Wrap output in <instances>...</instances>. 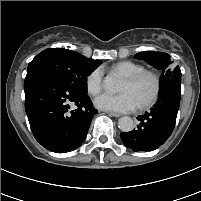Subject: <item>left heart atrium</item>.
Segmentation results:
<instances>
[{
  "mask_svg": "<svg viewBox=\"0 0 201 201\" xmlns=\"http://www.w3.org/2000/svg\"><path fill=\"white\" fill-rule=\"evenodd\" d=\"M94 104L101 110L115 113L130 112L138 106L134 97L128 92L104 93L95 99Z\"/></svg>",
  "mask_w": 201,
  "mask_h": 201,
  "instance_id": "1",
  "label": "left heart atrium"
}]
</instances>
